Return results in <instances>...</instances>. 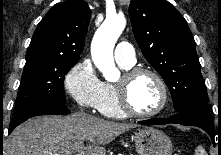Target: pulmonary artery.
<instances>
[{"label": "pulmonary artery", "instance_id": "1", "mask_svg": "<svg viewBox=\"0 0 221 155\" xmlns=\"http://www.w3.org/2000/svg\"><path fill=\"white\" fill-rule=\"evenodd\" d=\"M114 57L117 63L133 66L136 62L133 46L128 42H120L115 48Z\"/></svg>", "mask_w": 221, "mask_h": 155}]
</instances>
